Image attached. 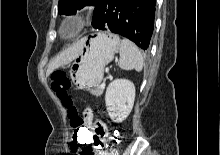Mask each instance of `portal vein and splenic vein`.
Instances as JSON below:
<instances>
[{"label": "portal vein and splenic vein", "instance_id": "obj_1", "mask_svg": "<svg viewBox=\"0 0 220 155\" xmlns=\"http://www.w3.org/2000/svg\"><path fill=\"white\" fill-rule=\"evenodd\" d=\"M106 70H108V68H106ZM105 85H106V83L103 82V83L100 85V88H101V89H104V88H105Z\"/></svg>", "mask_w": 220, "mask_h": 155}]
</instances>
